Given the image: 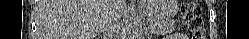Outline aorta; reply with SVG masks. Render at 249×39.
I'll return each mask as SVG.
<instances>
[{
	"label": "aorta",
	"instance_id": "aorta-1",
	"mask_svg": "<svg viewBox=\"0 0 249 39\" xmlns=\"http://www.w3.org/2000/svg\"><path fill=\"white\" fill-rule=\"evenodd\" d=\"M139 36V17L135 6V1H131L128 7L126 20V37L127 39H136Z\"/></svg>",
	"mask_w": 249,
	"mask_h": 39
}]
</instances>
